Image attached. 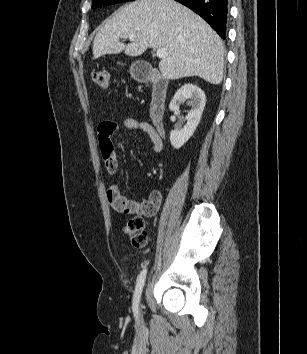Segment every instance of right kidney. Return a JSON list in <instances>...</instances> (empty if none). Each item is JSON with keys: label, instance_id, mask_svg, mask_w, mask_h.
<instances>
[{"label": "right kidney", "instance_id": "ca27d5eb", "mask_svg": "<svg viewBox=\"0 0 307 354\" xmlns=\"http://www.w3.org/2000/svg\"><path fill=\"white\" fill-rule=\"evenodd\" d=\"M185 100L191 106L188 111L187 123L181 130H172L170 132L171 145L175 149L183 146L195 132L205 107L206 96L201 88L191 83L183 85L174 95L169 104L171 111H178L179 106Z\"/></svg>", "mask_w": 307, "mask_h": 354}]
</instances>
